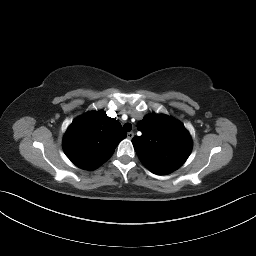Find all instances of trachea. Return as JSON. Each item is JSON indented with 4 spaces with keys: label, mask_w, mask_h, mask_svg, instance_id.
<instances>
[{
    "label": "trachea",
    "mask_w": 256,
    "mask_h": 256,
    "mask_svg": "<svg viewBox=\"0 0 256 256\" xmlns=\"http://www.w3.org/2000/svg\"><path fill=\"white\" fill-rule=\"evenodd\" d=\"M123 128L125 131L130 132L132 130V125L130 123H125Z\"/></svg>",
    "instance_id": "trachea-1"
}]
</instances>
